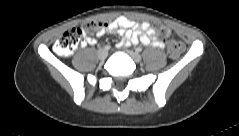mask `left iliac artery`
Wrapping results in <instances>:
<instances>
[{
    "label": "left iliac artery",
    "instance_id": "left-iliac-artery-1",
    "mask_svg": "<svg viewBox=\"0 0 239 136\" xmlns=\"http://www.w3.org/2000/svg\"><path fill=\"white\" fill-rule=\"evenodd\" d=\"M136 51H137V52H141V51H142V48L138 47V48L136 49Z\"/></svg>",
    "mask_w": 239,
    "mask_h": 136
}]
</instances>
